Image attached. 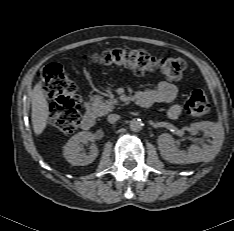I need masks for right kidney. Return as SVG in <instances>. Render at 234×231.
Wrapping results in <instances>:
<instances>
[{"label": "right kidney", "instance_id": "ca27d5eb", "mask_svg": "<svg viewBox=\"0 0 234 231\" xmlns=\"http://www.w3.org/2000/svg\"><path fill=\"white\" fill-rule=\"evenodd\" d=\"M94 140L95 136L90 132L82 131L75 134L63 147V155L65 159L74 166H85L92 163L98 156L97 147L92 144L90 146V152L86 154L83 151L81 143H87L88 141Z\"/></svg>", "mask_w": 234, "mask_h": 231}]
</instances>
